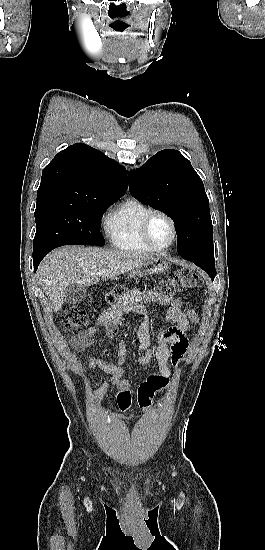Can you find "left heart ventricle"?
<instances>
[{"label":"left heart ventricle","instance_id":"obj_1","mask_svg":"<svg viewBox=\"0 0 265 550\" xmlns=\"http://www.w3.org/2000/svg\"><path fill=\"white\" fill-rule=\"evenodd\" d=\"M149 233L158 246H166L172 240V230L169 222L162 216H154L149 225Z\"/></svg>","mask_w":265,"mask_h":550}]
</instances>
